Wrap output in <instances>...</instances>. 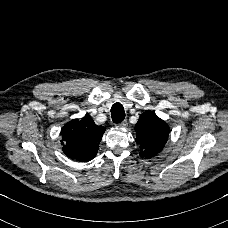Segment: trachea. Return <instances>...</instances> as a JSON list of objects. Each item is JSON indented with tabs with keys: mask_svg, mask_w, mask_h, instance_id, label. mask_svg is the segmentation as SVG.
<instances>
[{
	"mask_svg": "<svg viewBox=\"0 0 228 228\" xmlns=\"http://www.w3.org/2000/svg\"><path fill=\"white\" fill-rule=\"evenodd\" d=\"M112 121L116 124L122 122L125 119L124 108L120 103H115L111 108Z\"/></svg>",
	"mask_w": 228,
	"mask_h": 228,
	"instance_id": "3493384b",
	"label": "trachea"
}]
</instances>
